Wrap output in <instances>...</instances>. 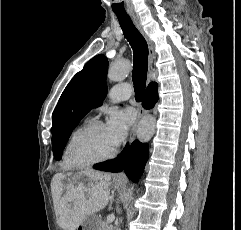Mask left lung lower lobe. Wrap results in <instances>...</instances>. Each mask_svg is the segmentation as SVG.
Here are the masks:
<instances>
[{
    "instance_id": "obj_1",
    "label": "left lung lower lobe",
    "mask_w": 241,
    "mask_h": 230,
    "mask_svg": "<svg viewBox=\"0 0 241 230\" xmlns=\"http://www.w3.org/2000/svg\"><path fill=\"white\" fill-rule=\"evenodd\" d=\"M148 156V145L134 141L130 146L127 144L115 159L95 164L94 168L114 173L124 171L129 179L137 182L143 173Z\"/></svg>"
}]
</instances>
